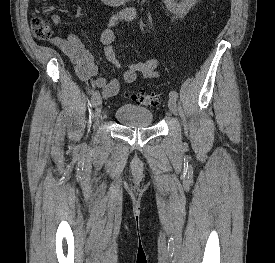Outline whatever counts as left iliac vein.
Here are the masks:
<instances>
[{
    "label": "left iliac vein",
    "instance_id": "obj_1",
    "mask_svg": "<svg viewBox=\"0 0 275 263\" xmlns=\"http://www.w3.org/2000/svg\"><path fill=\"white\" fill-rule=\"evenodd\" d=\"M168 107H169V110L171 111L172 114H174V115L177 114V104H176V101L174 99H170L168 101Z\"/></svg>",
    "mask_w": 275,
    "mask_h": 263
}]
</instances>
